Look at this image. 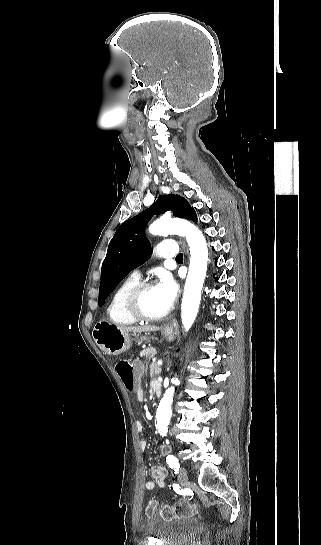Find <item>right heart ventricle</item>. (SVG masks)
I'll list each match as a JSON object with an SVG mask.
<instances>
[{
  "mask_svg": "<svg viewBox=\"0 0 321 545\" xmlns=\"http://www.w3.org/2000/svg\"><path fill=\"white\" fill-rule=\"evenodd\" d=\"M138 282V278L130 275L123 279L113 292L106 308L108 320L113 326L127 327L135 323L126 317L123 312L122 304L125 293Z\"/></svg>",
  "mask_w": 321,
  "mask_h": 545,
  "instance_id": "obj_1",
  "label": "right heart ventricle"
}]
</instances>
